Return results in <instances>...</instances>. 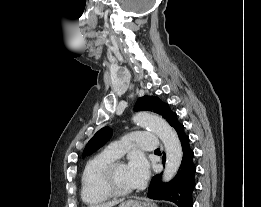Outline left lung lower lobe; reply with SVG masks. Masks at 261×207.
I'll return each mask as SVG.
<instances>
[{
    "label": "left lung lower lobe",
    "mask_w": 261,
    "mask_h": 207,
    "mask_svg": "<svg viewBox=\"0 0 261 207\" xmlns=\"http://www.w3.org/2000/svg\"><path fill=\"white\" fill-rule=\"evenodd\" d=\"M180 139L183 157L174 179L168 183L161 182V175H155L150 183L147 196L155 200L174 202L178 207H192V194L195 189L196 166L193 163L194 153L189 145V137L179 121L173 127ZM165 157H163V163Z\"/></svg>",
    "instance_id": "left-lung-lower-lobe-1"
}]
</instances>
